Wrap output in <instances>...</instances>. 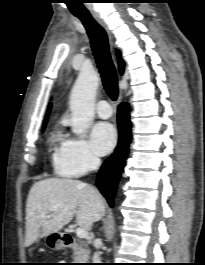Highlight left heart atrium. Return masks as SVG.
Returning <instances> with one entry per match:
<instances>
[{
    "label": "left heart atrium",
    "mask_w": 205,
    "mask_h": 265,
    "mask_svg": "<svg viewBox=\"0 0 205 265\" xmlns=\"http://www.w3.org/2000/svg\"><path fill=\"white\" fill-rule=\"evenodd\" d=\"M117 134L115 128L107 122L96 124L91 133V141L94 151L99 155L110 152L116 144Z\"/></svg>",
    "instance_id": "39dd6f15"
}]
</instances>
